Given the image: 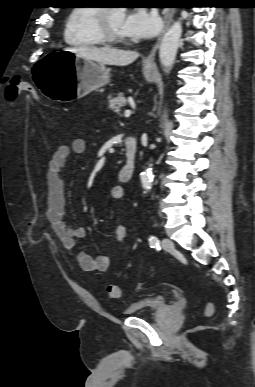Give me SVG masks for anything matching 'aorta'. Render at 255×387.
Listing matches in <instances>:
<instances>
[{"instance_id": "1", "label": "aorta", "mask_w": 255, "mask_h": 387, "mask_svg": "<svg viewBox=\"0 0 255 387\" xmlns=\"http://www.w3.org/2000/svg\"><path fill=\"white\" fill-rule=\"evenodd\" d=\"M181 35L182 24L180 21H177L166 31L162 38L159 48V58L166 71H169L173 67ZM141 183L144 190L148 191L151 188V167H148L141 173Z\"/></svg>"}]
</instances>
